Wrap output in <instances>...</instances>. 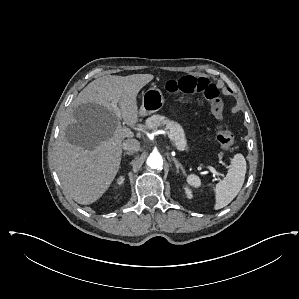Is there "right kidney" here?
I'll return each mask as SVG.
<instances>
[{
    "label": "right kidney",
    "instance_id": "ca27d5eb",
    "mask_svg": "<svg viewBox=\"0 0 299 299\" xmlns=\"http://www.w3.org/2000/svg\"><path fill=\"white\" fill-rule=\"evenodd\" d=\"M123 181H124V178L121 176V177L118 178L117 183L119 185H121L123 183Z\"/></svg>",
    "mask_w": 299,
    "mask_h": 299
}]
</instances>
